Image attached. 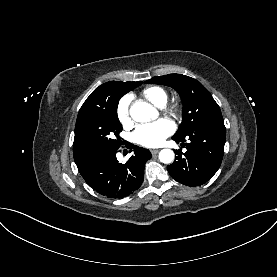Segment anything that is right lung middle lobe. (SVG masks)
<instances>
[{
    "label": "right lung middle lobe",
    "instance_id": "obj_1",
    "mask_svg": "<svg viewBox=\"0 0 277 277\" xmlns=\"http://www.w3.org/2000/svg\"><path fill=\"white\" fill-rule=\"evenodd\" d=\"M129 91L122 86L111 88V98L105 108L91 111L77 119L73 144L76 159L84 160L120 147L122 125L117 116V106L119 99Z\"/></svg>",
    "mask_w": 277,
    "mask_h": 277
}]
</instances>
